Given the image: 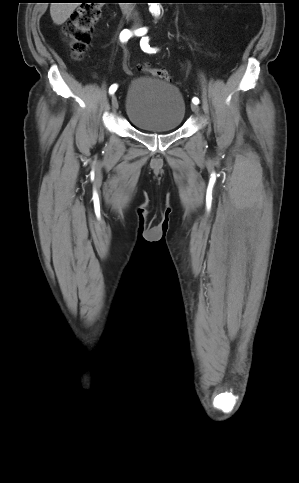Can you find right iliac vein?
<instances>
[{"label":"right iliac vein","mask_w":299,"mask_h":483,"mask_svg":"<svg viewBox=\"0 0 299 483\" xmlns=\"http://www.w3.org/2000/svg\"><path fill=\"white\" fill-rule=\"evenodd\" d=\"M112 107L114 110L118 108V99L115 94H113L112 99H111Z\"/></svg>","instance_id":"obj_1"}]
</instances>
